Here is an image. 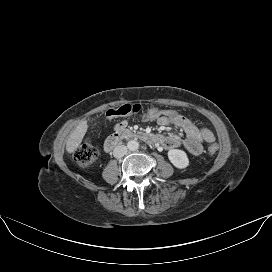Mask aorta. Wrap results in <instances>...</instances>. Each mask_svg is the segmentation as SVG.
I'll return each mask as SVG.
<instances>
[{
    "instance_id": "762f6f07",
    "label": "aorta",
    "mask_w": 272,
    "mask_h": 272,
    "mask_svg": "<svg viewBox=\"0 0 272 272\" xmlns=\"http://www.w3.org/2000/svg\"><path fill=\"white\" fill-rule=\"evenodd\" d=\"M127 148H128L130 151H136V150L139 148V142L136 141V140H130V141H128V143H127Z\"/></svg>"
}]
</instances>
